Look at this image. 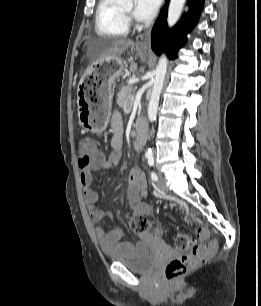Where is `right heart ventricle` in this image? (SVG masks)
<instances>
[{"mask_svg":"<svg viewBox=\"0 0 261 306\" xmlns=\"http://www.w3.org/2000/svg\"><path fill=\"white\" fill-rule=\"evenodd\" d=\"M95 29L102 36H126L129 27L127 19L116 0H99L95 16Z\"/></svg>","mask_w":261,"mask_h":306,"instance_id":"1","label":"right heart ventricle"}]
</instances>
